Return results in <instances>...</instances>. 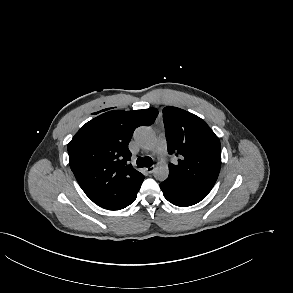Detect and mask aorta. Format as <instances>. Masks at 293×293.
I'll list each match as a JSON object with an SVG mask.
<instances>
[{
    "instance_id": "1",
    "label": "aorta",
    "mask_w": 293,
    "mask_h": 293,
    "mask_svg": "<svg viewBox=\"0 0 293 293\" xmlns=\"http://www.w3.org/2000/svg\"><path fill=\"white\" fill-rule=\"evenodd\" d=\"M134 138L141 147L147 150L153 149L156 145V136L152 129L147 126H141L137 128L134 133ZM168 174L169 169L165 163L157 164L153 170V175L155 179L159 181L166 180Z\"/></svg>"
}]
</instances>
